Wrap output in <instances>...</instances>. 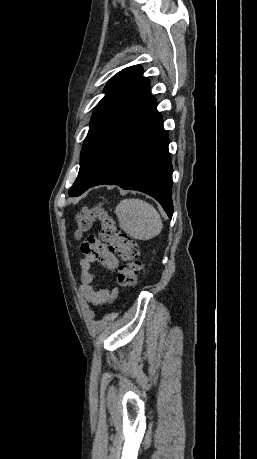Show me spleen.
<instances>
[{
  "label": "spleen",
  "instance_id": "obj_1",
  "mask_svg": "<svg viewBox=\"0 0 257 459\" xmlns=\"http://www.w3.org/2000/svg\"><path fill=\"white\" fill-rule=\"evenodd\" d=\"M120 228L138 240H149L157 236L163 227L157 210L148 202L138 198L123 199L116 206Z\"/></svg>",
  "mask_w": 257,
  "mask_h": 459
}]
</instances>
